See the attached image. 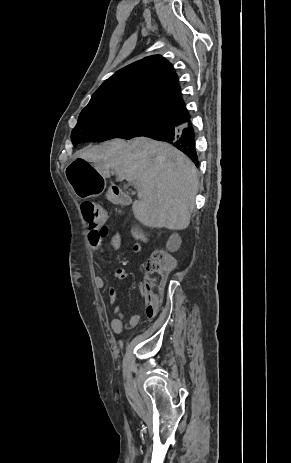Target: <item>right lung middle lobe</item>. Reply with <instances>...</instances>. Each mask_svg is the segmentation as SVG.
Instances as JSON below:
<instances>
[{
    "label": "right lung middle lobe",
    "instance_id": "right-lung-middle-lobe-1",
    "mask_svg": "<svg viewBox=\"0 0 291 463\" xmlns=\"http://www.w3.org/2000/svg\"><path fill=\"white\" fill-rule=\"evenodd\" d=\"M167 125L165 119L143 112L83 109L71 133V139L73 145L114 138L132 139Z\"/></svg>",
    "mask_w": 291,
    "mask_h": 463
}]
</instances>
